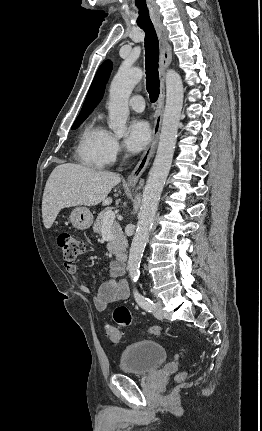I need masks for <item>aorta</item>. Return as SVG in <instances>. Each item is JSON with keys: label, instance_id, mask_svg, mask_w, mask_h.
<instances>
[{"label": "aorta", "instance_id": "aorta-1", "mask_svg": "<svg viewBox=\"0 0 262 431\" xmlns=\"http://www.w3.org/2000/svg\"><path fill=\"white\" fill-rule=\"evenodd\" d=\"M142 77L143 71L140 68L123 65L111 82L108 125L116 137H123L126 132V121L129 116L128 100ZM165 79L166 105L158 149L143 191L139 220L128 258L129 275L133 282L140 276L141 258L171 168L183 106L184 88L180 75L174 70H168Z\"/></svg>", "mask_w": 262, "mask_h": 431}]
</instances>
